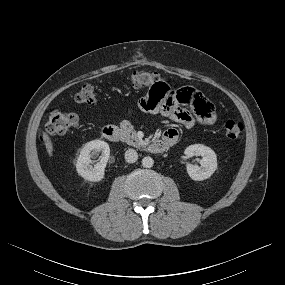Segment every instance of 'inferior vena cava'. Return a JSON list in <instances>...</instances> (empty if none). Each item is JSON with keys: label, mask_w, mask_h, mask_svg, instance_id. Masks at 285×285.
<instances>
[{"label": "inferior vena cava", "mask_w": 285, "mask_h": 285, "mask_svg": "<svg viewBox=\"0 0 285 285\" xmlns=\"http://www.w3.org/2000/svg\"><path fill=\"white\" fill-rule=\"evenodd\" d=\"M138 159V153L134 149H128L125 152V160L128 163H134Z\"/></svg>", "instance_id": "inferior-vena-cava-1"}]
</instances>
